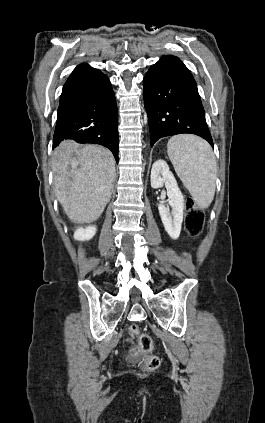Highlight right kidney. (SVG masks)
I'll use <instances>...</instances> for the list:
<instances>
[{"instance_id":"ca27d5eb","label":"right kidney","mask_w":265,"mask_h":423,"mask_svg":"<svg viewBox=\"0 0 265 423\" xmlns=\"http://www.w3.org/2000/svg\"><path fill=\"white\" fill-rule=\"evenodd\" d=\"M95 226H88L86 228H79L74 233V239L79 241L90 240L96 234Z\"/></svg>"}]
</instances>
